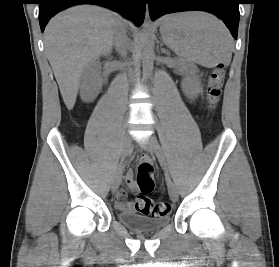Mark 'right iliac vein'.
<instances>
[{"label": "right iliac vein", "mask_w": 279, "mask_h": 267, "mask_svg": "<svg viewBox=\"0 0 279 267\" xmlns=\"http://www.w3.org/2000/svg\"><path fill=\"white\" fill-rule=\"evenodd\" d=\"M131 148V137L129 135H126L124 140H123V144H122V150H121V158L124 159ZM121 182V170L118 169V171L116 172L114 179L112 181V192H116L119 185Z\"/></svg>", "instance_id": "obj_1"}]
</instances>
